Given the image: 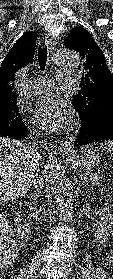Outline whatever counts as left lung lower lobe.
Wrapping results in <instances>:
<instances>
[{
  "label": "left lung lower lobe",
  "mask_w": 113,
  "mask_h": 279,
  "mask_svg": "<svg viewBox=\"0 0 113 279\" xmlns=\"http://www.w3.org/2000/svg\"><path fill=\"white\" fill-rule=\"evenodd\" d=\"M81 119L80 133L75 141V147H81L92 142L113 141V108L112 106L89 109L81 103H73Z\"/></svg>",
  "instance_id": "left-lung-lower-lobe-1"
}]
</instances>
